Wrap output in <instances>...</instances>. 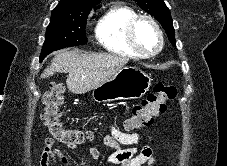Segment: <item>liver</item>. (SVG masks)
<instances>
[{
    "instance_id": "obj_1",
    "label": "liver",
    "mask_w": 227,
    "mask_h": 166,
    "mask_svg": "<svg viewBox=\"0 0 227 166\" xmlns=\"http://www.w3.org/2000/svg\"><path fill=\"white\" fill-rule=\"evenodd\" d=\"M128 61L125 56L62 50L55 53L40 77L48 78L56 72L69 73L66 80L68 90L74 94H85L108 81Z\"/></svg>"
}]
</instances>
